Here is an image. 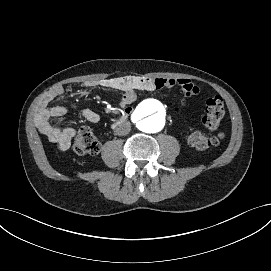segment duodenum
<instances>
[{"label": "duodenum", "mask_w": 271, "mask_h": 271, "mask_svg": "<svg viewBox=\"0 0 271 271\" xmlns=\"http://www.w3.org/2000/svg\"><path fill=\"white\" fill-rule=\"evenodd\" d=\"M126 115L125 116H122L119 120H118V122L116 123V124H119V123H121V122H123L125 119H126Z\"/></svg>", "instance_id": "obj_1"}]
</instances>
